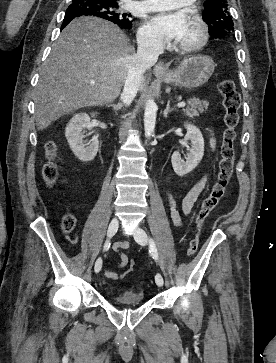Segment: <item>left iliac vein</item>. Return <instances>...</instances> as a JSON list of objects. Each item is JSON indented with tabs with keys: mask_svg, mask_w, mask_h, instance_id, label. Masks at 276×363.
<instances>
[{
	"mask_svg": "<svg viewBox=\"0 0 276 363\" xmlns=\"http://www.w3.org/2000/svg\"><path fill=\"white\" fill-rule=\"evenodd\" d=\"M134 238L136 240V242L142 246L146 245L148 243V237L146 232L141 228V227H137L135 233H134ZM155 282L159 287H162L164 284V280L163 277L160 273H157L155 276Z\"/></svg>",
	"mask_w": 276,
	"mask_h": 363,
	"instance_id": "obj_1",
	"label": "left iliac vein"
}]
</instances>
